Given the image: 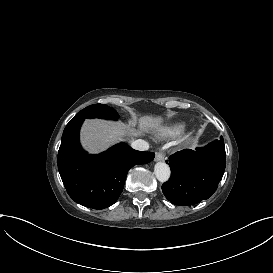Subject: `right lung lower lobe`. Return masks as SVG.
Wrapping results in <instances>:
<instances>
[{
	"label": "right lung lower lobe",
	"mask_w": 273,
	"mask_h": 273,
	"mask_svg": "<svg viewBox=\"0 0 273 273\" xmlns=\"http://www.w3.org/2000/svg\"><path fill=\"white\" fill-rule=\"evenodd\" d=\"M83 121L72 119L65 127L58 151V170L67 193L75 202L100 210L117 201L130 168L149 163L155 154L133 150L125 143L102 154H88L79 142Z\"/></svg>",
	"instance_id": "1"
}]
</instances>
